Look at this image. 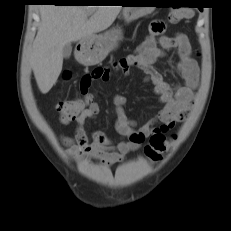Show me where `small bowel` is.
<instances>
[{"mask_svg":"<svg viewBox=\"0 0 231 231\" xmlns=\"http://www.w3.org/2000/svg\"><path fill=\"white\" fill-rule=\"evenodd\" d=\"M165 23L154 21L150 25L149 35L136 48L135 52L123 59L113 62L109 66H99L83 75L80 90L83 96L88 97L92 83L96 80L106 82L112 71L129 74L132 68L142 70L147 80L154 86V92L162 104L161 110L153 121L137 127L134 120L125 112L127 98L117 94L113 98L116 114V130L120 139L115 141L108 138L102 131H94L92 141H89L84 129L87 119H93L99 114V105L95 102L82 111L76 118L74 138L63 136L62 142L68 147L67 155L82 163L97 160L104 166L122 162L125 156L137 150L146 138L154 133H166L173 129L176 123L185 119L190 111L194 89L198 80V67L192 57V48L188 38L183 34L173 37L158 36L165 31ZM178 51V75L184 80L183 85L172 86L153 68L154 63L166 55V50Z\"/></svg>","mask_w":231,"mask_h":231,"instance_id":"small-bowel-1","label":"small bowel"}]
</instances>
